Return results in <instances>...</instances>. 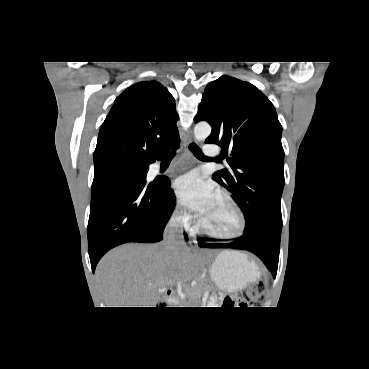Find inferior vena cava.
Returning a JSON list of instances; mask_svg holds the SVG:
<instances>
[{
  "instance_id": "inferior-vena-cava-1",
  "label": "inferior vena cava",
  "mask_w": 369,
  "mask_h": 369,
  "mask_svg": "<svg viewBox=\"0 0 369 369\" xmlns=\"http://www.w3.org/2000/svg\"><path fill=\"white\" fill-rule=\"evenodd\" d=\"M164 249L167 252H174L181 246H186L182 235V218L173 216L167 223L164 234Z\"/></svg>"
}]
</instances>
